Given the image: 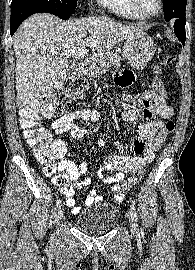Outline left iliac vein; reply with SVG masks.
Segmentation results:
<instances>
[{
  "label": "left iliac vein",
  "instance_id": "left-iliac-vein-1",
  "mask_svg": "<svg viewBox=\"0 0 195 270\" xmlns=\"http://www.w3.org/2000/svg\"><path fill=\"white\" fill-rule=\"evenodd\" d=\"M128 217H129V221H130V229L132 232H135L137 229V225H136V221H135L131 211H129Z\"/></svg>",
  "mask_w": 195,
  "mask_h": 270
}]
</instances>
